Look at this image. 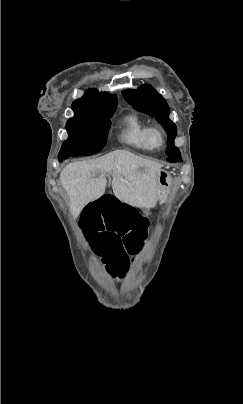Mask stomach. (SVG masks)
Listing matches in <instances>:
<instances>
[{"label":"stomach","instance_id":"stomach-1","mask_svg":"<svg viewBox=\"0 0 243 404\" xmlns=\"http://www.w3.org/2000/svg\"><path fill=\"white\" fill-rule=\"evenodd\" d=\"M156 176L158 182L157 188L159 190V198H162L161 195L164 193L166 189L165 187L168 186L170 177L165 171L161 169L157 172Z\"/></svg>","mask_w":243,"mask_h":404}]
</instances>
